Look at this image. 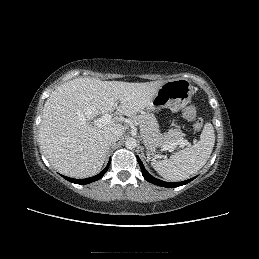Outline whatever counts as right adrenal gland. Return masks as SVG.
Masks as SVG:
<instances>
[{
  "label": "right adrenal gland",
  "mask_w": 259,
  "mask_h": 259,
  "mask_svg": "<svg viewBox=\"0 0 259 259\" xmlns=\"http://www.w3.org/2000/svg\"><path fill=\"white\" fill-rule=\"evenodd\" d=\"M110 146H111V144L108 145V148H107L108 150H109Z\"/></svg>",
  "instance_id": "2a0ac1e0"
}]
</instances>
